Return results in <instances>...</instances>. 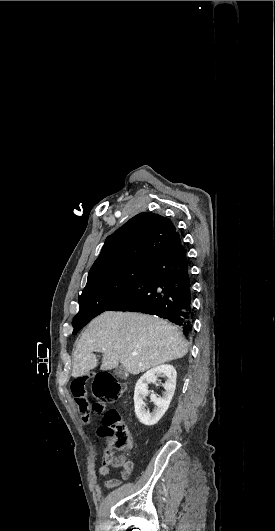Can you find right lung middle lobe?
Listing matches in <instances>:
<instances>
[{"label": "right lung middle lobe", "mask_w": 275, "mask_h": 531, "mask_svg": "<svg viewBox=\"0 0 275 531\" xmlns=\"http://www.w3.org/2000/svg\"><path fill=\"white\" fill-rule=\"evenodd\" d=\"M145 267L136 265L122 268L87 283L79 297L80 310L72 322L73 334L120 301L140 278Z\"/></svg>", "instance_id": "obj_1"}]
</instances>
